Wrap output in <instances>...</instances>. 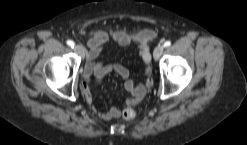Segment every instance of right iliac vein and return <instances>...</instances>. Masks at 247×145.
Wrapping results in <instances>:
<instances>
[{"label": "right iliac vein", "mask_w": 247, "mask_h": 145, "mask_svg": "<svg viewBox=\"0 0 247 145\" xmlns=\"http://www.w3.org/2000/svg\"><path fill=\"white\" fill-rule=\"evenodd\" d=\"M74 50H75L79 55H81V56L84 55V50H83L82 46H80V45H75V46H74Z\"/></svg>", "instance_id": "1"}]
</instances>
